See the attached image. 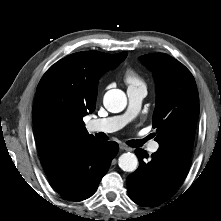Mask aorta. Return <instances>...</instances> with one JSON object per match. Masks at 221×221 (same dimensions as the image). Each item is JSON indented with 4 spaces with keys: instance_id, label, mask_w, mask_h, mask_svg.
Returning a JSON list of instances; mask_svg holds the SVG:
<instances>
[{
    "instance_id": "1",
    "label": "aorta",
    "mask_w": 221,
    "mask_h": 221,
    "mask_svg": "<svg viewBox=\"0 0 221 221\" xmlns=\"http://www.w3.org/2000/svg\"><path fill=\"white\" fill-rule=\"evenodd\" d=\"M103 104L112 113H119L127 105V97L122 90L111 89L104 95ZM119 167L126 172H133L137 169L138 159L133 153H123L118 159Z\"/></svg>"
}]
</instances>
